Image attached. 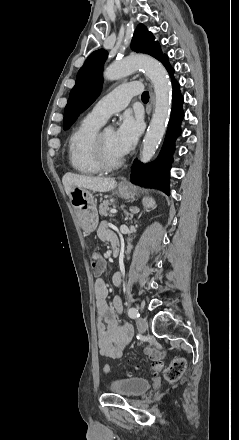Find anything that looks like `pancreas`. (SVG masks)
<instances>
[{
    "instance_id": "obj_1",
    "label": "pancreas",
    "mask_w": 239,
    "mask_h": 440,
    "mask_svg": "<svg viewBox=\"0 0 239 440\" xmlns=\"http://www.w3.org/2000/svg\"><path fill=\"white\" fill-rule=\"evenodd\" d=\"M109 206H111V202L109 200H103L102 204L99 206V214L100 216H109L108 210H110Z\"/></svg>"
}]
</instances>
